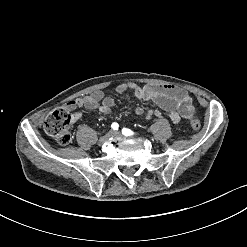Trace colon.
<instances>
[{
    "mask_svg": "<svg viewBox=\"0 0 247 247\" xmlns=\"http://www.w3.org/2000/svg\"><path fill=\"white\" fill-rule=\"evenodd\" d=\"M190 122L195 130L200 129L201 124L198 119ZM71 124L72 120L68 112L55 110L46 117L43 128L58 144L65 146L73 139Z\"/></svg>",
    "mask_w": 247,
    "mask_h": 247,
    "instance_id": "colon-1",
    "label": "colon"
}]
</instances>
